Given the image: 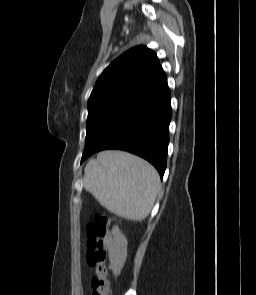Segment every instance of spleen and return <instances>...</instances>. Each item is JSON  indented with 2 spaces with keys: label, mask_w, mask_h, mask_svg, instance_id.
Returning <instances> with one entry per match:
<instances>
[{
  "label": "spleen",
  "mask_w": 256,
  "mask_h": 295,
  "mask_svg": "<svg viewBox=\"0 0 256 295\" xmlns=\"http://www.w3.org/2000/svg\"><path fill=\"white\" fill-rule=\"evenodd\" d=\"M84 187L108 211L134 221L145 219L160 179L147 161L122 151H104L85 167Z\"/></svg>",
  "instance_id": "1"
}]
</instances>
